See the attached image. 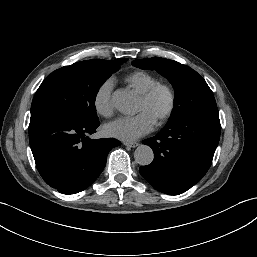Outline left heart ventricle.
Returning a JSON list of instances; mask_svg holds the SVG:
<instances>
[{
    "label": "left heart ventricle",
    "instance_id": "left-heart-ventricle-1",
    "mask_svg": "<svg viewBox=\"0 0 257 257\" xmlns=\"http://www.w3.org/2000/svg\"><path fill=\"white\" fill-rule=\"evenodd\" d=\"M167 105V96L164 93H159L152 101L148 103L143 102L141 99H139L136 107V112H145L151 118H153L155 122H157L158 119L165 112Z\"/></svg>",
    "mask_w": 257,
    "mask_h": 257
}]
</instances>
